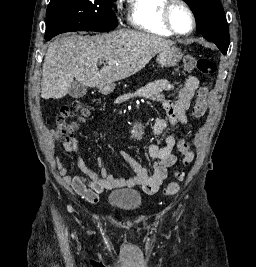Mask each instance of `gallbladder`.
Instances as JSON below:
<instances>
[{
    "label": "gallbladder",
    "instance_id": "obj_1",
    "mask_svg": "<svg viewBox=\"0 0 256 267\" xmlns=\"http://www.w3.org/2000/svg\"><path fill=\"white\" fill-rule=\"evenodd\" d=\"M68 94L71 98H83L87 94V86L80 82H72Z\"/></svg>",
    "mask_w": 256,
    "mask_h": 267
}]
</instances>
